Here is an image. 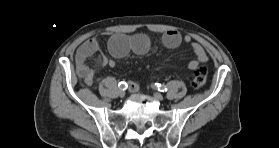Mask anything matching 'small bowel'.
<instances>
[{
    "mask_svg": "<svg viewBox=\"0 0 279 148\" xmlns=\"http://www.w3.org/2000/svg\"><path fill=\"white\" fill-rule=\"evenodd\" d=\"M162 42L168 48H176L182 42L189 44L196 56L195 59L188 62V68L191 70L196 69L200 63L208 61V55L202 45L194 41L188 35L182 37L179 32L170 30L162 35ZM150 48L151 40L145 34H135L132 36L116 34L111 36L108 41V49L115 58L124 57L130 51L143 55L146 54ZM99 52L100 44L96 38L86 40L76 51V72L86 85H91L93 83L95 74L94 69L89 66L88 60ZM98 63L102 66L107 65L111 68L116 66V61L114 59H108L102 54L98 57ZM128 86L132 92L139 89V83L137 81H130Z\"/></svg>",
    "mask_w": 279,
    "mask_h": 148,
    "instance_id": "c3829d8e",
    "label": "small bowel"
}]
</instances>
